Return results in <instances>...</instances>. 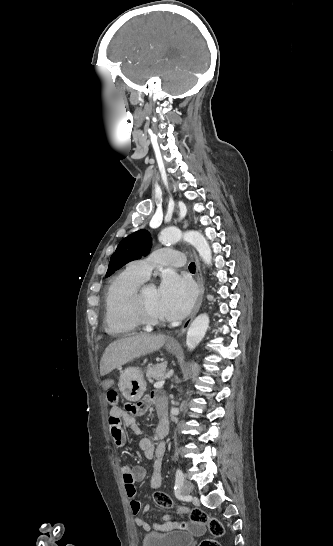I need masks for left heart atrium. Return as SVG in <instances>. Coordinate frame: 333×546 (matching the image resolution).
<instances>
[{
    "mask_svg": "<svg viewBox=\"0 0 333 546\" xmlns=\"http://www.w3.org/2000/svg\"><path fill=\"white\" fill-rule=\"evenodd\" d=\"M157 292L160 312L164 318L171 320L186 316L195 298L193 285L172 271L163 274Z\"/></svg>",
    "mask_w": 333,
    "mask_h": 546,
    "instance_id": "obj_1",
    "label": "left heart atrium"
}]
</instances>
